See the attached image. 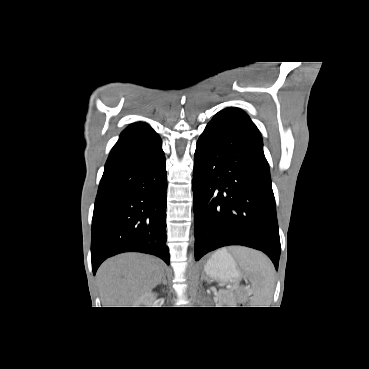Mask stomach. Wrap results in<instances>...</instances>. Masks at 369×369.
I'll return each instance as SVG.
<instances>
[{
	"instance_id": "1",
	"label": "stomach",
	"mask_w": 369,
	"mask_h": 369,
	"mask_svg": "<svg viewBox=\"0 0 369 369\" xmlns=\"http://www.w3.org/2000/svg\"><path fill=\"white\" fill-rule=\"evenodd\" d=\"M204 270L208 276L222 282H235L241 277L235 260L226 249L214 253L206 262Z\"/></svg>"
}]
</instances>
